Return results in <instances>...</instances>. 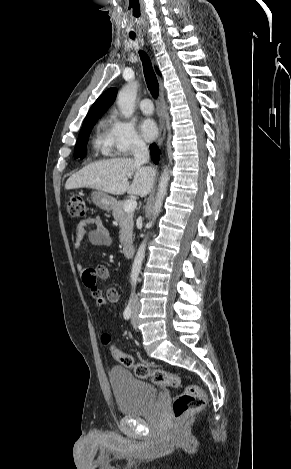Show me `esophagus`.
Segmentation results:
<instances>
[{
  "label": "esophagus",
  "instance_id": "34e87169",
  "mask_svg": "<svg viewBox=\"0 0 291 469\" xmlns=\"http://www.w3.org/2000/svg\"><path fill=\"white\" fill-rule=\"evenodd\" d=\"M160 120H159V136L157 139V144L161 145L164 142L166 135L165 119H164V94L163 88L160 89Z\"/></svg>",
  "mask_w": 291,
  "mask_h": 469
}]
</instances>
